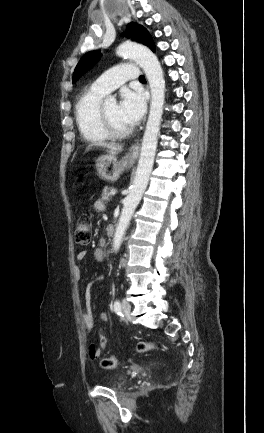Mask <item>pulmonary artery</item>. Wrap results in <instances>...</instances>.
I'll list each match as a JSON object with an SVG mask.
<instances>
[{
	"instance_id": "obj_1",
	"label": "pulmonary artery",
	"mask_w": 264,
	"mask_h": 433,
	"mask_svg": "<svg viewBox=\"0 0 264 433\" xmlns=\"http://www.w3.org/2000/svg\"><path fill=\"white\" fill-rule=\"evenodd\" d=\"M136 79H139L137 66L130 63H121L97 78L92 84V89L108 94L126 81Z\"/></svg>"
}]
</instances>
